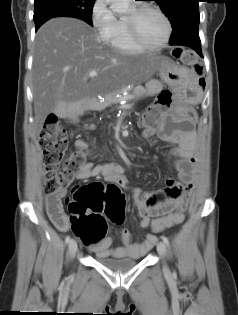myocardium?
<instances>
[{
	"label": "myocardium",
	"instance_id": "obj_1",
	"mask_svg": "<svg viewBox=\"0 0 238 315\" xmlns=\"http://www.w3.org/2000/svg\"><path fill=\"white\" fill-rule=\"evenodd\" d=\"M147 11H152L157 13L164 21L166 25V35L162 42L157 45H149L145 43L139 35L137 28V20L141 14ZM127 29L131 41L140 49L146 51H155L162 49L170 41L172 35V25L167 17V15L158 7L148 4L137 5L132 8V11L129 15L126 16Z\"/></svg>",
	"mask_w": 238,
	"mask_h": 315
}]
</instances>
